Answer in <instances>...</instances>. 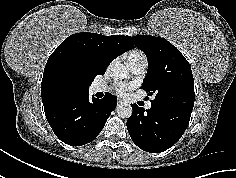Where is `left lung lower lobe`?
<instances>
[{
  "instance_id": "left-lung-lower-lobe-1",
  "label": "left lung lower lobe",
  "mask_w": 236,
  "mask_h": 178,
  "mask_svg": "<svg viewBox=\"0 0 236 178\" xmlns=\"http://www.w3.org/2000/svg\"><path fill=\"white\" fill-rule=\"evenodd\" d=\"M133 113L127 120L132 141L150 153L172 147L186 130L192 111L153 104L149 110L131 104Z\"/></svg>"
}]
</instances>
